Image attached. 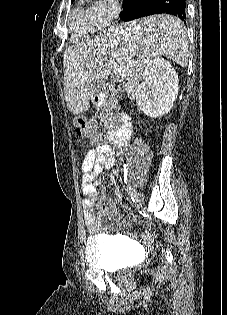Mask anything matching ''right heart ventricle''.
<instances>
[{
    "instance_id": "e07e8e85",
    "label": "right heart ventricle",
    "mask_w": 227,
    "mask_h": 315,
    "mask_svg": "<svg viewBox=\"0 0 227 315\" xmlns=\"http://www.w3.org/2000/svg\"><path fill=\"white\" fill-rule=\"evenodd\" d=\"M70 29L76 40L86 39L95 34L97 26L90 8L79 2L69 14Z\"/></svg>"
}]
</instances>
